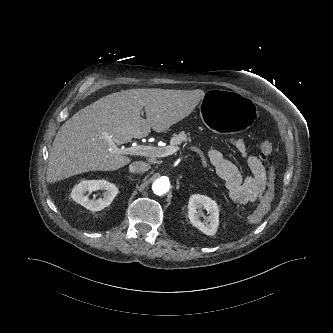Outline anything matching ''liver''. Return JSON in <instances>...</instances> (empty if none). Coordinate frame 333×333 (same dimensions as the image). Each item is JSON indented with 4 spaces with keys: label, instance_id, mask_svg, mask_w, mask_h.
Here are the masks:
<instances>
[{
    "label": "liver",
    "instance_id": "obj_1",
    "mask_svg": "<svg viewBox=\"0 0 333 333\" xmlns=\"http://www.w3.org/2000/svg\"><path fill=\"white\" fill-rule=\"evenodd\" d=\"M204 91L129 89L104 96L78 111L57 132L49 154L47 181L88 171H114L131 162L115 151L132 138L146 137L188 116ZM145 110L146 119L140 116Z\"/></svg>",
    "mask_w": 333,
    "mask_h": 333
}]
</instances>
